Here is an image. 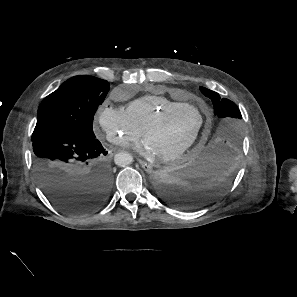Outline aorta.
Returning <instances> with one entry per match:
<instances>
[{"label": "aorta", "mask_w": 297, "mask_h": 297, "mask_svg": "<svg viewBox=\"0 0 297 297\" xmlns=\"http://www.w3.org/2000/svg\"><path fill=\"white\" fill-rule=\"evenodd\" d=\"M114 161L116 165L124 167L133 162V157L128 152H120L115 155Z\"/></svg>", "instance_id": "obj_1"}]
</instances>
